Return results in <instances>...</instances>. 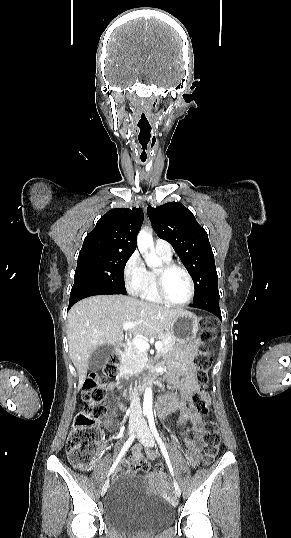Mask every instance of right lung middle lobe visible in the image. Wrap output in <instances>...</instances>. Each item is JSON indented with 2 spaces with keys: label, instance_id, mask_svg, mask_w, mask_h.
<instances>
[{
  "label": "right lung middle lobe",
  "instance_id": "dd1d6c3e",
  "mask_svg": "<svg viewBox=\"0 0 291 538\" xmlns=\"http://www.w3.org/2000/svg\"><path fill=\"white\" fill-rule=\"evenodd\" d=\"M131 255L104 250L80 252L70 296L84 292L126 294L124 268Z\"/></svg>",
  "mask_w": 291,
  "mask_h": 538
}]
</instances>
